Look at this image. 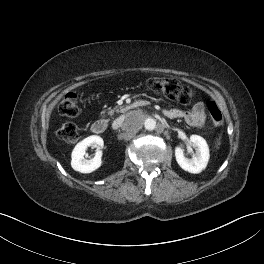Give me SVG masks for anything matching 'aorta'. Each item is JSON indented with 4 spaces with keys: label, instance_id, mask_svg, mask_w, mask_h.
Returning a JSON list of instances; mask_svg holds the SVG:
<instances>
[{
    "label": "aorta",
    "instance_id": "762f6f07",
    "mask_svg": "<svg viewBox=\"0 0 264 264\" xmlns=\"http://www.w3.org/2000/svg\"><path fill=\"white\" fill-rule=\"evenodd\" d=\"M144 127L148 131H153L157 127V122L153 118H147L144 120Z\"/></svg>",
    "mask_w": 264,
    "mask_h": 264
}]
</instances>
